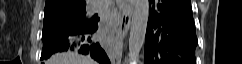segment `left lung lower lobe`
Wrapping results in <instances>:
<instances>
[{"label":"left lung lower lobe","instance_id":"left-lung-lower-lobe-1","mask_svg":"<svg viewBox=\"0 0 242 64\" xmlns=\"http://www.w3.org/2000/svg\"><path fill=\"white\" fill-rule=\"evenodd\" d=\"M144 64H195L198 44L190 0H150Z\"/></svg>","mask_w":242,"mask_h":64}]
</instances>
